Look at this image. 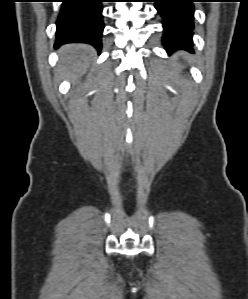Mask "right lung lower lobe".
I'll use <instances>...</instances> for the list:
<instances>
[{"label": "right lung lower lobe", "instance_id": "obj_1", "mask_svg": "<svg viewBox=\"0 0 248 299\" xmlns=\"http://www.w3.org/2000/svg\"><path fill=\"white\" fill-rule=\"evenodd\" d=\"M103 0H62L56 22L55 47L66 43H87L101 50Z\"/></svg>", "mask_w": 248, "mask_h": 299}]
</instances>
